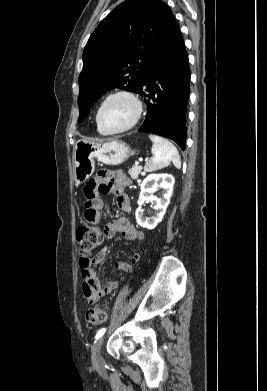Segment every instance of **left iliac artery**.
Wrapping results in <instances>:
<instances>
[{"label":"left iliac artery","mask_w":267,"mask_h":391,"mask_svg":"<svg viewBox=\"0 0 267 391\" xmlns=\"http://www.w3.org/2000/svg\"><path fill=\"white\" fill-rule=\"evenodd\" d=\"M106 331V328L99 330L96 334V339H99Z\"/></svg>","instance_id":"left-iliac-artery-1"}]
</instances>
